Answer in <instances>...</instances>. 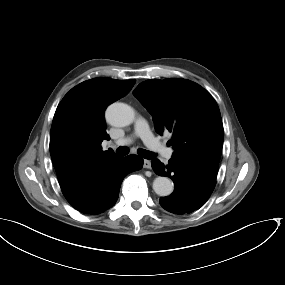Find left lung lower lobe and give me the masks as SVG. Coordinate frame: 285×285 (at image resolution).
Here are the masks:
<instances>
[{
	"instance_id": "left-lung-lower-lobe-1",
	"label": "left lung lower lobe",
	"mask_w": 285,
	"mask_h": 285,
	"mask_svg": "<svg viewBox=\"0 0 285 285\" xmlns=\"http://www.w3.org/2000/svg\"><path fill=\"white\" fill-rule=\"evenodd\" d=\"M152 168L157 175L168 176L175 184L171 195L160 198L161 206L171 213L182 215L198 210L216 185L218 169L198 162L171 158L168 165H164L154 159Z\"/></svg>"
}]
</instances>
